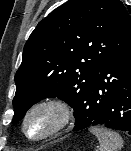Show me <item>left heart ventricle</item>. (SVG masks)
I'll return each instance as SVG.
<instances>
[{"label":"left heart ventricle","instance_id":"1","mask_svg":"<svg viewBox=\"0 0 131 151\" xmlns=\"http://www.w3.org/2000/svg\"><path fill=\"white\" fill-rule=\"evenodd\" d=\"M55 122V114L48 110H41L33 114L27 123V131L31 136L44 134Z\"/></svg>","mask_w":131,"mask_h":151}]
</instances>
